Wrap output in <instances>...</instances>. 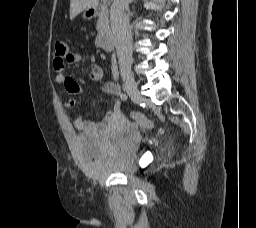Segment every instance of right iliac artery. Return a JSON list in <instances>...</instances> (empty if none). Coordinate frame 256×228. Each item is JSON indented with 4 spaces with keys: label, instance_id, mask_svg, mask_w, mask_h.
<instances>
[{
    "label": "right iliac artery",
    "instance_id": "right-iliac-artery-1",
    "mask_svg": "<svg viewBox=\"0 0 256 228\" xmlns=\"http://www.w3.org/2000/svg\"><path fill=\"white\" fill-rule=\"evenodd\" d=\"M120 97H121V99H122L123 101H126L127 98H128L127 94H125V93H122V94L120 95Z\"/></svg>",
    "mask_w": 256,
    "mask_h": 228
}]
</instances>
